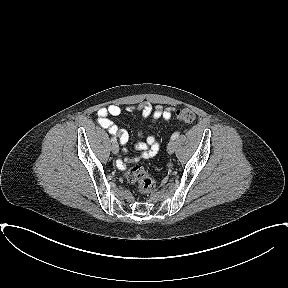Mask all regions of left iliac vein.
<instances>
[{
  "mask_svg": "<svg viewBox=\"0 0 288 288\" xmlns=\"http://www.w3.org/2000/svg\"><path fill=\"white\" fill-rule=\"evenodd\" d=\"M167 151H168L169 154H172L175 151V141L174 140H171L168 143Z\"/></svg>",
  "mask_w": 288,
  "mask_h": 288,
  "instance_id": "4c4485c4",
  "label": "left iliac vein"
}]
</instances>
